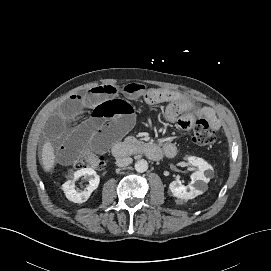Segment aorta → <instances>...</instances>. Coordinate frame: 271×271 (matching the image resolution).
<instances>
[{
  "instance_id": "obj_1",
  "label": "aorta",
  "mask_w": 271,
  "mask_h": 271,
  "mask_svg": "<svg viewBox=\"0 0 271 271\" xmlns=\"http://www.w3.org/2000/svg\"><path fill=\"white\" fill-rule=\"evenodd\" d=\"M148 169V162L144 159L138 160L135 163V170L139 173H143Z\"/></svg>"
}]
</instances>
